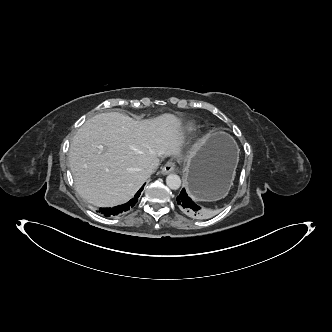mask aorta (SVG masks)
Listing matches in <instances>:
<instances>
[{"instance_id":"1","label":"aorta","mask_w":332,"mask_h":332,"mask_svg":"<svg viewBox=\"0 0 332 332\" xmlns=\"http://www.w3.org/2000/svg\"><path fill=\"white\" fill-rule=\"evenodd\" d=\"M166 184L172 190H177L181 186V179L177 174H169L166 177Z\"/></svg>"}]
</instances>
